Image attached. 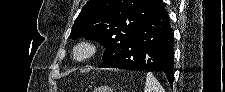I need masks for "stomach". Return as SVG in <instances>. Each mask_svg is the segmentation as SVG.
Returning <instances> with one entry per match:
<instances>
[{
  "mask_svg": "<svg viewBox=\"0 0 225 92\" xmlns=\"http://www.w3.org/2000/svg\"><path fill=\"white\" fill-rule=\"evenodd\" d=\"M96 92H112V89H109L107 87H102L98 89Z\"/></svg>",
  "mask_w": 225,
  "mask_h": 92,
  "instance_id": "stomach-1",
  "label": "stomach"
}]
</instances>
